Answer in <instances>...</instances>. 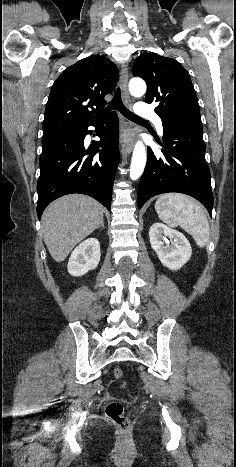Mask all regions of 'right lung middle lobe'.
I'll list each match as a JSON object with an SVG mask.
<instances>
[{
  "mask_svg": "<svg viewBox=\"0 0 236 467\" xmlns=\"http://www.w3.org/2000/svg\"><path fill=\"white\" fill-rule=\"evenodd\" d=\"M63 132H65V131H61V132H50V133H43V137H42V138L49 137V136H53V135L60 134V133H63Z\"/></svg>",
  "mask_w": 236,
  "mask_h": 467,
  "instance_id": "dd1d6c3e",
  "label": "right lung middle lobe"
}]
</instances>
